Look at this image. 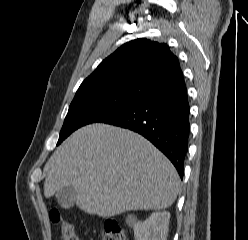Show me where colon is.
<instances>
[{
	"label": "colon",
	"instance_id": "5ec220e1",
	"mask_svg": "<svg viewBox=\"0 0 248 240\" xmlns=\"http://www.w3.org/2000/svg\"><path fill=\"white\" fill-rule=\"evenodd\" d=\"M49 216L52 222L59 225L61 240H80L74 224L64 220L57 209H52ZM102 240H128V237L117 221L108 220L104 225Z\"/></svg>",
	"mask_w": 248,
	"mask_h": 240
}]
</instances>
